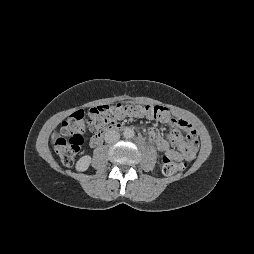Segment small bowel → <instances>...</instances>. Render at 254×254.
I'll return each mask as SVG.
<instances>
[{
    "label": "small bowel",
    "instance_id": "c3829d8e",
    "mask_svg": "<svg viewBox=\"0 0 254 254\" xmlns=\"http://www.w3.org/2000/svg\"><path fill=\"white\" fill-rule=\"evenodd\" d=\"M171 127V132L164 137L158 128H151L149 135L157 148L163 153V158L168 157L175 161H192L198 150V137L192 123L183 117H172L166 110L165 116L157 119ZM182 131L187 134L183 137ZM171 146H176L174 150Z\"/></svg>",
    "mask_w": 254,
    "mask_h": 254
}]
</instances>
